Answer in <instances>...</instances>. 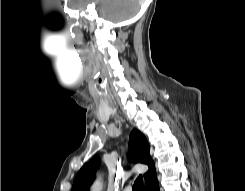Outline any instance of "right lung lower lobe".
<instances>
[{
  "label": "right lung lower lobe",
  "instance_id": "98d812e1",
  "mask_svg": "<svg viewBox=\"0 0 245 191\" xmlns=\"http://www.w3.org/2000/svg\"><path fill=\"white\" fill-rule=\"evenodd\" d=\"M145 191H160L157 178H154L147 184H145Z\"/></svg>",
  "mask_w": 245,
  "mask_h": 191
}]
</instances>
